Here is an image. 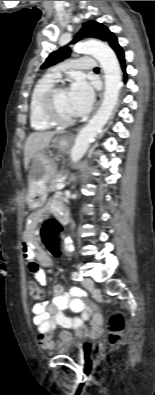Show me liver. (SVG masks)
<instances>
[{"label":"liver","instance_id":"6515ba94","mask_svg":"<svg viewBox=\"0 0 155 395\" xmlns=\"http://www.w3.org/2000/svg\"><path fill=\"white\" fill-rule=\"evenodd\" d=\"M58 132H34L29 135L27 138L25 147H24V166L25 169L28 170L29 163L33 156L47 148L53 138Z\"/></svg>","mask_w":155,"mask_h":395}]
</instances>
